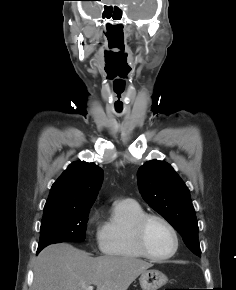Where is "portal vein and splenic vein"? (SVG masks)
<instances>
[{
    "instance_id": "1",
    "label": "portal vein and splenic vein",
    "mask_w": 236,
    "mask_h": 290,
    "mask_svg": "<svg viewBox=\"0 0 236 290\" xmlns=\"http://www.w3.org/2000/svg\"><path fill=\"white\" fill-rule=\"evenodd\" d=\"M86 290H93V286H88Z\"/></svg>"
}]
</instances>
